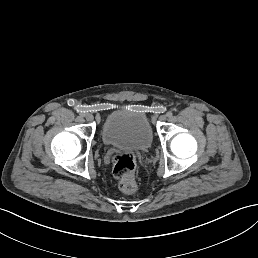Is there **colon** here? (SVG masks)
I'll return each mask as SVG.
<instances>
[{"label": "colon", "mask_w": 258, "mask_h": 258, "mask_svg": "<svg viewBox=\"0 0 258 258\" xmlns=\"http://www.w3.org/2000/svg\"><path fill=\"white\" fill-rule=\"evenodd\" d=\"M112 171L119 189L127 194H134L138 190L136 179V159L133 155L115 153L112 156Z\"/></svg>", "instance_id": "5ec220e1"}]
</instances>
